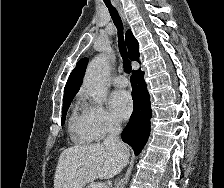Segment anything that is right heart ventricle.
<instances>
[{
    "label": "right heart ventricle",
    "mask_w": 224,
    "mask_h": 188,
    "mask_svg": "<svg viewBox=\"0 0 224 188\" xmlns=\"http://www.w3.org/2000/svg\"><path fill=\"white\" fill-rule=\"evenodd\" d=\"M72 139L77 143H90L95 138L87 128L83 113H80L78 106L75 107L69 121Z\"/></svg>",
    "instance_id": "obj_1"
}]
</instances>
